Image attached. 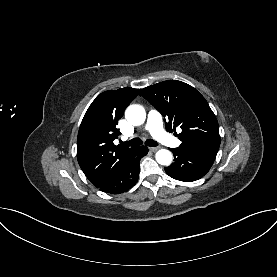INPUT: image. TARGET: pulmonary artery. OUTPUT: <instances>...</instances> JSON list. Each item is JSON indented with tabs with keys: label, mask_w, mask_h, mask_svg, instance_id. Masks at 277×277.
Instances as JSON below:
<instances>
[{
	"label": "pulmonary artery",
	"mask_w": 277,
	"mask_h": 277,
	"mask_svg": "<svg viewBox=\"0 0 277 277\" xmlns=\"http://www.w3.org/2000/svg\"><path fill=\"white\" fill-rule=\"evenodd\" d=\"M146 129L155 139L167 146L178 147L180 145V141L177 138L169 135L164 131L162 127L161 116L155 110H151L148 113Z\"/></svg>",
	"instance_id": "1"
}]
</instances>
